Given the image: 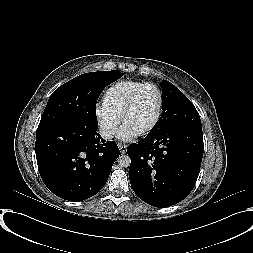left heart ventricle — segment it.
<instances>
[{
    "mask_svg": "<svg viewBox=\"0 0 253 253\" xmlns=\"http://www.w3.org/2000/svg\"><path fill=\"white\" fill-rule=\"evenodd\" d=\"M159 96L157 91L148 87L144 89L133 108L127 114L124 124L135 132L148 127L154 119L158 109Z\"/></svg>",
    "mask_w": 253,
    "mask_h": 253,
    "instance_id": "obj_1",
    "label": "left heart ventricle"
}]
</instances>
